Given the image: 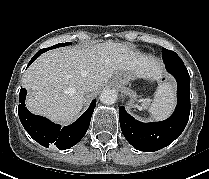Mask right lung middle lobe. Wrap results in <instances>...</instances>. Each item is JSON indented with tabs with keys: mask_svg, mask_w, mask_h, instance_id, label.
<instances>
[{
	"mask_svg": "<svg viewBox=\"0 0 209 179\" xmlns=\"http://www.w3.org/2000/svg\"><path fill=\"white\" fill-rule=\"evenodd\" d=\"M70 44H71L70 42L59 43V44H56V45L51 46V47H49V48L41 49V51L45 52V51H48L49 49H54V48H57V47L67 46V45H70Z\"/></svg>",
	"mask_w": 209,
	"mask_h": 179,
	"instance_id": "obj_1",
	"label": "right lung middle lobe"
}]
</instances>
